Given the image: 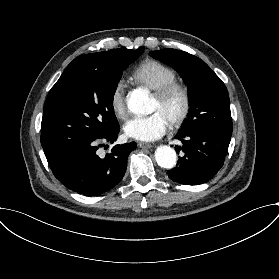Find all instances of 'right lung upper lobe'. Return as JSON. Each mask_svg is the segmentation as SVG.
I'll use <instances>...</instances> for the list:
<instances>
[{
    "label": "right lung upper lobe",
    "mask_w": 279,
    "mask_h": 279,
    "mask_svg": "<svg viewBox=\"0 0 279 279\" xmlns=\"http://www.w3.org/2000/svg\"><path fill=\"white\" fill-rule=\"evenodd\" d=\"M120 51L121 49H112L104 52L83 54L77 57L75 61L84 60L94 67H104L112 58L118 55Z\"/></svg>",
    "instance_id": "1"
}]
</instances>
